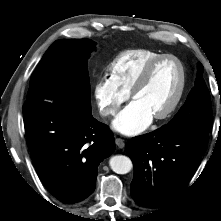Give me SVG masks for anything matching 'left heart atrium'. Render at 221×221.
I'll list each match as a JSON object with an SVG mask.
<instances>
[{
	"mask_svg": "<svg viewBox=\"0 0 221 221\" xmlns=\"http://www.w3.org/2000/svg\"><path fill=\"white\" fill-rule=\"evenodd\" d=\"M153 116L137 101L124 108L113 122L114 128L125 135H136L145 130Z\"/></svg>",
	"mask_w": 221,
	"mask_h": 221,
	"instance_id": "obj_1",
	"label": "left heart atrium"
}]
</instances>
